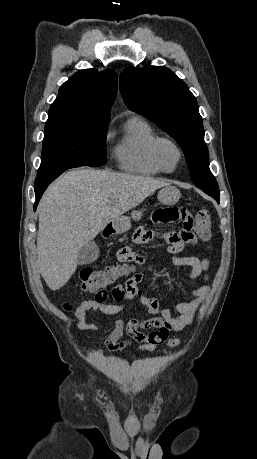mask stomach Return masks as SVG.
<instances>
[{"label": "stomach", "instance_id": "1", "mask_svg": "<svg viewBox=\"0 0 257 459\" xmlns=\"http://www.w3.org/2000/svg\"><path fill=\"white\" fill-rule=\"evenodd\" d=\"M180 191L177 187L168 185L163 187L158 192V200L162 204L173 205L180 198ZM142 216V211L134 210L131 213V218L135 221H139ZM112 233L121 234L128 231L131 228V219L127 216H120L112 221Z\"/></svg>", "mask_w": 257, "mask_h": 459}]
</instances>
